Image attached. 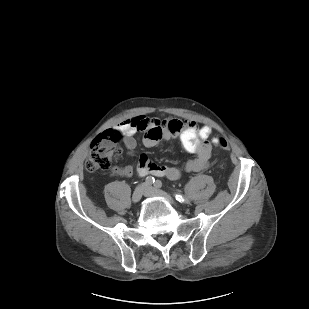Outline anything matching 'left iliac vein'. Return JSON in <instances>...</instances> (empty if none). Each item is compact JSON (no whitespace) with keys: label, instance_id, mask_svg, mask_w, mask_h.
I'll return each mask as SVG.
<instances>
[{"label":"left iliac vein","instance_id":"4c4485c4","mask_svg":"<svg viewBox=\"0 0 309 309\" xmlns=\"http://www.w3.org/2000/svg\"><path fill=\"white\" fill-rule=\"evenodd\" d=\"M147 187H148V192L146 193L145 196H161V197L165 198L171 204H175L172 197L170 195H168L166 192H164L162 190L155 189V188H153L149 185H147Z\"/></svg>","mask_w":309,"mask_h":309}]
</instances>
